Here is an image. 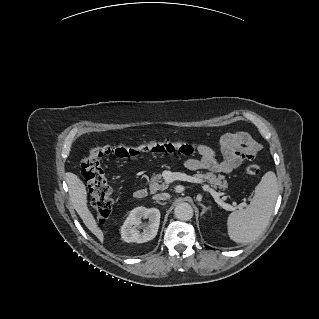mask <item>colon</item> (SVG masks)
<instances>
[{
  "instance_id": "colon-1",
  "label": "colon",
  "mask_w": 319,
  "mask_h": 319,
  "mask_svg": "<svg viewBox=\"0 0 319 319\" xmlns=\"http://www.w3.org/2000/svg\"><path fill=\"white\" fill-rule=\"evenodd\" d=\"M195 149L194 143L169 140L140 143L115 142L90 146L81 162V174L90 188L92 206L96 217L100 220H106L114 207L113 189L103 167L105 156L114 155L128 158L141 153L168 154L175 152L182 155H191L195 152ZM245 170L247 174L252 176L260 173V168L256 164L248 165Z\"/></svg>"
}]
</instances>
